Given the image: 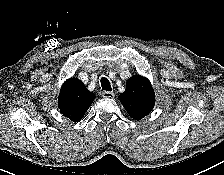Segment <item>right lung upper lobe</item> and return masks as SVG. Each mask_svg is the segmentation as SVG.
Segmentation results:
<instances>
[{
  "label": "right lung upper lobe",
  "instance_id": "cb5924a9",
  "mask_svg": "<svg viewBox=\"0 0 224 175\" xmlns=\"http://www.w3.org/2000/svg\"><path fill=\"white\" fill-rule=\"evenodd\" d=\"M93 100L94 94L88 91L80 80L73 77L68 79L61 87L58 105L64 116L73 122H78Z\"/></svg>",
  "mask_w": 224,
  "mask_h": 175
}]
</instances>
